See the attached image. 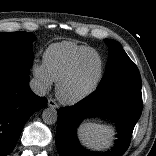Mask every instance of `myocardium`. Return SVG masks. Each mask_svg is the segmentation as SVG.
Returning <instances> with one entry per match:
<instances>
[{
	"label": "myocardium",
	"instance_id": "obj_1",
	"mask_svg": "<svg viewBox=\"0 0 156 156\" xmlns=\"http://www.w3.org/2000/svg\"><path fill=\"white\" fill-rule=\"evenodd\" d=\"M95 54L99 58L100 61V72L96 79V81L84 92L75 95V96H68L66 94V88L71 83V81L74 79V77L77 74L78 68L80 64L85 60V58L90 55ZM104 72H105V64L102 56L99 52L96 50L94 51H88L80 55L73 63L69 71L66 73V75L58 82L57 88H56V95L58 99L66 105H75L78 104L85 99L89 98L92 94H94L98 88L100 87L103 78H104Z\"/></svg>",
	"mask_w": 156,
	"mask_h": 156
}]
</instances>
